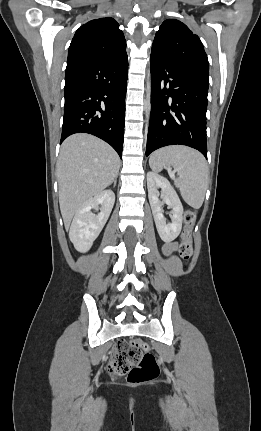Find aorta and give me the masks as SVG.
<instances>
[{
  "mask_svg": "<svg viewBox=\"0 0 261 431\" xmlns=\"http://www.w3.org/2000/svg\"><path fill=\"white\" fill-rule=\"evenodd\" d=\"M146 92H147V96H146V103H145V113H146V117H148L151 111V82H148Z\"/></svg>",
  "mask_w": 261,
  "mask_h": 431,
  "instance_id": "1",
  "label": "aorta"
}]
</instances>
